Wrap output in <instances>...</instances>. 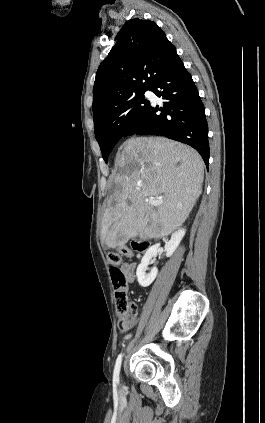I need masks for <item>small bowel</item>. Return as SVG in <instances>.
I'll return each mask as SVG.
<instances>
[{"label":"small bowel","mask_w":265,"mask_h":423,"mask_svg":"<svg viewBox=\"0 0 265 423\" xmlns=\"http://www.w3.org/2000/svg\"><path fill=\"white\" fill-rule=\"evenodd\" d=\"M121 270L124 273L126 279L129 282H133L135 279L134 270H135V263H124L121 266Z\"/></svg>","instance_id":"small-bowel-1"}]
</instances>
